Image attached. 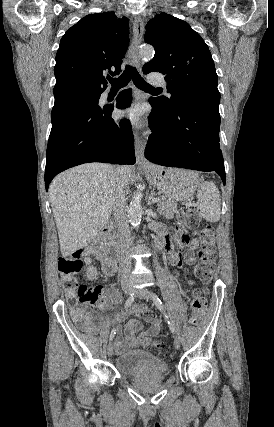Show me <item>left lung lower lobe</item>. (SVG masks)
<instances>
[{"mask_svg":"<svg viewBox=\"0 0 274 427\" xmlns=\"http://www.w3.org/2000/svg\"><path fill=\"white\" fill-rule=\"evenodd\" d=\"M149 103L152 134L145 157L162 166L215 171L225 184L218 107L202 103L165 107L152 97Z\"/></svg>","mask_w":274,"mask_h":427,"instance_id":"left-lung-lower-lobe-1","label":"left lung lower lobe"}]
</instances>
